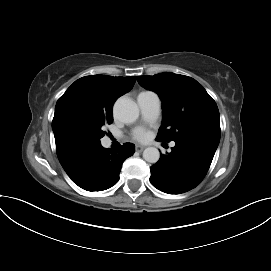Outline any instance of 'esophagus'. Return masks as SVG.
Wrapping results in <instances>:
<instances>
[{
    "label": "esophagus",
    "instance_id": "esophagus-1",
    "mask_svg": "<svg viewBox=\"0 0 271 271\" xmlns=\"http://www.w3.org/2000/svg\"><path fill=\"white\" fill-rule=\"evenodd\" d=\"M145 149V146L143 145H136V151L137 152H142Z\"/></svg>",
    "mask_w": 271,
    "mask_h": 271
}]
</instances>
